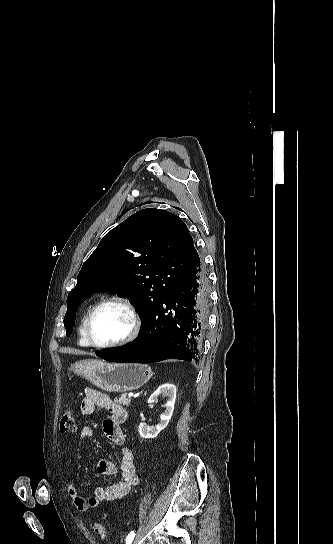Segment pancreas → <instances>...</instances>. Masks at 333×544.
<instances>
[{"label": "pancreas", "mask_w": 333, "mask_h": 544, "mask_svg": "<svg viewBox=\"0 0 333 544\" xmlns=\"http://www.w3.org/2000/svg\"><path fill=\"white\" fill-rule=\"evenodd\" d=\"M114 401L117 402L118 404L128 407L131 402V399H128L126 395H122L120 398H115Z\"/></svg>", "instance_id": "obj_1"}]
</instances>
